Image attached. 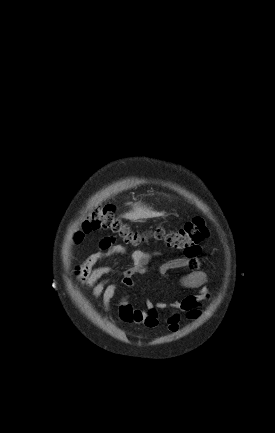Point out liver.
<instances>
[{
    "label": "liver",
    "mask_w": 275,
    "mask_h": 433,
    "mask_svg": "<svg viewBox=\"0 0 275 433\" xmlns=\"http://www.w3.org/2000/svg\"><path fill=\"white\" fill-rule=\"evenodd\" d=\"M159 214L156 212L151 211L150 209L146 207H141L140 205H136L133 210L127 214L124 215L126 219L129 220H138L141 218H151L158 216Z\"/></svg>",
    "instance_id": "1"
}]
</instances>
